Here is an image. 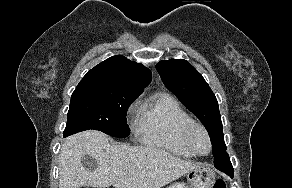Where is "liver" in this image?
Masks as SVG:
<instances>
[{
    "label": "liver",
    "mask_w": 292,
    "mask_h": 188,
    "mask_svg": "<svg viewBox=\"0 0 292 188\" xmlns=\"http://www.w3.org/2000/svg\"><path fill=\"white\" fill-rule=\"evenodd\" d=\"M89 155L96 167L89 170L82 158ZM151 146L110 144L108 137L94 130L68 137L59 153V188H161L199 167ZM123 171L122 175L117 172Z\"/></svg>",
    "instance_id": "6515ba94"
}]
</instances>
